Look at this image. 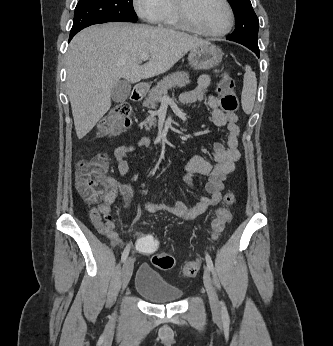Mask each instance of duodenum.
<instances>
[{"mask_svg":"<svg viewBox=\"0 0 333 346\" xmlns=\"http://www.w3.org/2000/svg\"><path fill=\"white\" fill-rule=\"evenodd\" d=\"M145 87L144 86H137L135 89H134V92H133V95H132V98L135 100V101H139L141 100L144 95H145Z\"/></svg>","mask_w":333,"mask_h":346,"instance_id":"410a0bca","label":"duodenum"}]
</instances>
